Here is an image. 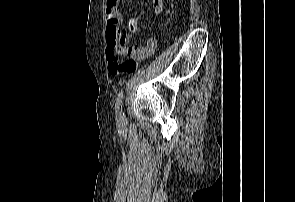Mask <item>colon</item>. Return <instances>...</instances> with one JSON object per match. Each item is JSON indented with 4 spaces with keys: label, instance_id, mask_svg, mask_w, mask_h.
<instances>
[{
    "label": "colon",
    "instance_id": "colon-1",
    "mask_svg": "<svg viewBox=\"0 0 295 202\" xmlns=\"http://www.w3.org/2000/svg\"><path fill=\"white\" fill-rule=\"evenodd\" d=\"M123 30L124 29L119 27L115 22L109 24L107 35H106L108 47L120 48V46L122 45L124 41Z\"/></svg>",
    "mask_w": 295,
    "mask_h": 202
}]
</instances>
